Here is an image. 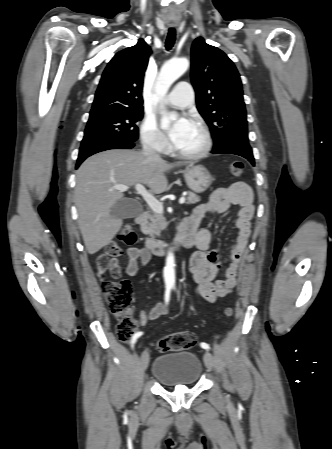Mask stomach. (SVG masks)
Wrapping results in <instances>:
<instances>
[{
  "mask_svg": "<svg viewBox=\"0 0 332 449\" xmlns=\"http://www.w3.org/2000/svg\"><path fill=\"white\" fill-rule=\"evenodd\" d=\"M187 186L196 193L206 191L213 182L208 170L202 165L189 166L184 171Z\"/></svg>",
  "mask_w": 332,
  "mask_h": 449,
  "instance_id": "stomach-1",
  "label": "stomach"
}]
</instances>
